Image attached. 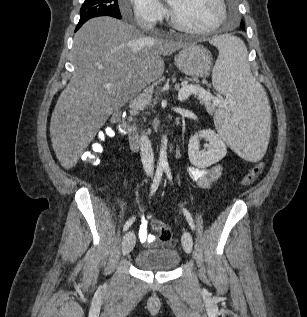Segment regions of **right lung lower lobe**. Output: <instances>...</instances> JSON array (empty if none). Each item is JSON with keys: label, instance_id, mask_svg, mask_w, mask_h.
<instances>
[{"label": "right lung lower lobe", "instance_id": "98d812e1", "mask_svg": "<svg viewBox=\"0 0 307 317\" xmlns=\"http://www.w3.org/2000/svg\"><path fill=\"white\" fill-rule=\"evenodd\" d=\"M84 23H78V26L76 27V30H78Z\"/></svg>", "mask_w": 307, "mask_h": 317}]
</instances>
